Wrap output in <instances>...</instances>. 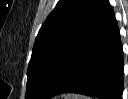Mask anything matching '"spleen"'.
<instances>
[{
    "instance_id": "spleen-1",
    "label": "spleen",
    "mask_w": 128,
    "mask_h": 99,
    "mask_svg": "<svg viewBox=\"0 0 128 99\" xmlns=\"http://www.w3.org/2000/svg\"><path fill=\"white\" fill-rule=\"evenodd\" d=\"M80 99H87L86 97L81 96Z\"/></svg>"
}]
</instances>
